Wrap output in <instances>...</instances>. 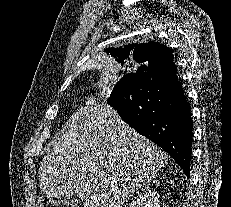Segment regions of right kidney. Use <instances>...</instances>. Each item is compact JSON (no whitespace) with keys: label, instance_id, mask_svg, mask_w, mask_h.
Here are the masks:
<instances>
[{"label":"right kidney","instance_id":"1","mask_svg":"<svg viewBox=\"0 0 231 207\" xmlns=\"http://www.w3.org/2000/svg\"><path fill=\"white\" fill-rule=\"evenodd\" d=\"M127 207H160L159 196L155 191L139 194Z\"/></svg>","mask_w":231,"mask_h":207}]
</instances>
